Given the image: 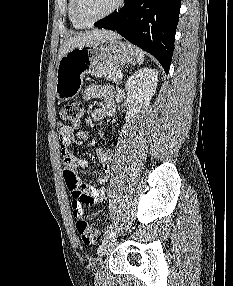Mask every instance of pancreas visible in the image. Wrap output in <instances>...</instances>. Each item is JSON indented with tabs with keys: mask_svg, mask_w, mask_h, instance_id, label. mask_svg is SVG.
I'll return each instance as SVG.
<instances>
[{
	"mask_svg": "<svg viewBox=\"0 0 233 286\" xmlns=\"http://www.w3.org/2000/svg\"><path fill=\"white\" fill-rule=\"evenodd\" d=\"M121 69L122 68L119 65H105L94 71L92 75L95 77H104L106 80L119 84L121 83V78L118 77L117 73L121 72Z\"/></svg>",
	"mask_w": 233,
	"mask_h": 286,
	"instance_id": "1",
	"label": "pancreas"
}]
</instances>
